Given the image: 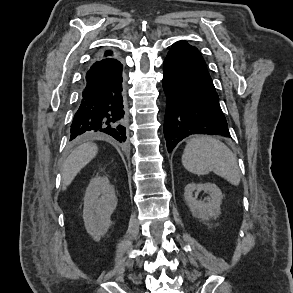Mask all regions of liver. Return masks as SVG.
<instances>
[{"label":"liver","instance_id":"6515ba94","mask_svg":"<svg viewBox=\"0 0 293 293\" xmlns=\"http://www.w3.org/2000/svg\"><path fill=\"white\" fill-rule=\"evenodd\" d=\"M98 148L94 143H84L77 147L64 161L62 165V190L71 184L75 176L84 168L97 154Z\"/></svg>","mask_w":293,"mask_h":293}]
</instances>
